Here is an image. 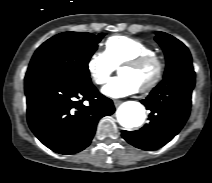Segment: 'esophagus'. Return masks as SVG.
I'll return each instance as SVG.
<instances>
[{"label":"esophagus","instance_id":"obj_1","mask_svg":"<svg viewBox=\"0 0 212 183\" xmlns=\"http://www.w3.org/2000/svg\"><path fill=\"white\" fill-rule=\"evenodd\" d=\"M122 101L120 100H113L114 105L117 107L121 104Z\"/></svg>","mask_w":212,"mask_h":183}]
</instances>
